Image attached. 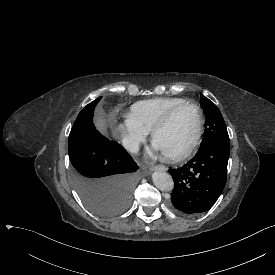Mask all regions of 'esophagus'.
Here are the masks:
<instances>
[{"label": "esophagus", "instance_id": "obj_1", "mask_svg": "<svg viewBox=\"0 0 275 275\" xmlns=\"http://www.w3.org/2000/svg\"><path fill=\"white\" fill-rule=\"evenodd\" d=\"M150 169L153 170V171H159V170L160 171H166L167 167L165 165L161 164V165L153 166Z\"/></svg>", "mask_w": 275, "mask_h": 275}]
</instances>
